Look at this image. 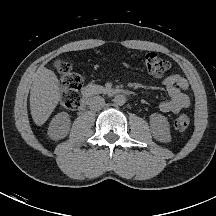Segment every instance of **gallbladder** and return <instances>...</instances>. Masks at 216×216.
<instances>
[{"label":"gallbladder","mask_w":216,"mask_h":216,"mask_svg":"<svg viewBox=\"0 0 216 216\" xmlns=\"http://www.w3.org/2000/svg\"><path fill=\"white\" fill-rule=\"evenodd\" d=\"M61 63H62V62H61L60 60H57V61H55L54 66H55L57 69H59Z\"/></svg>","instance_id":"1"}]
</instances>
